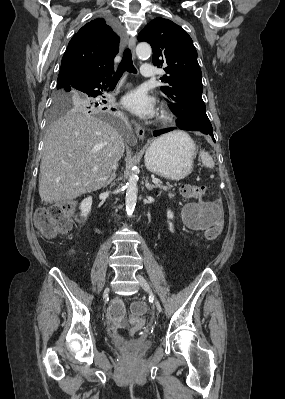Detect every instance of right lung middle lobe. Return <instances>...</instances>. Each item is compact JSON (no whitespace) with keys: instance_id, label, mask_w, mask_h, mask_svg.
I'll use <instances>...</instances> for the list:
<instances>
[{"instance_id":"right-lung-middle-lobe-1","label":"right lung middle lobe","mask_w":285,"mask_h":399,"mask_svg":"<svg viewBox=\"0 0 285 399\" xmlns=\"http://www.w3.org/2000/svg\"><path fill=\"white\" fill-rule=\"evenodd\" d=\"M93 97L72 87H57L51 111L50 122L55 117L71 110L96 111L108 113L109 109L98 103Z\"/></svg>"}]
</instances>
